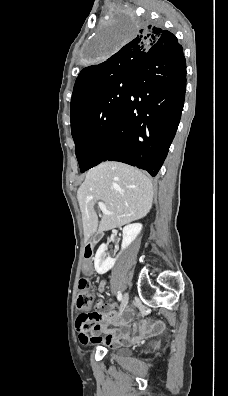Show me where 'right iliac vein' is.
<instances>
[{
    "label": "right iliac vein",
    "instance_id": "63e3f726",
    "mask_svg": "<svg viewBox=\"0 0 228 396\" xmlns=\"http://www.w3.org/2000/svg\"><path fill=\"white\" fill-rule=\"evenodd\" d=\"M128 300H129V294L125 293L123 298H122V302H121V307H120V314H122L128 304Z\"/></svg>",
    "mask_w": 228,
    "mask_h": 396
}]
</instances>
